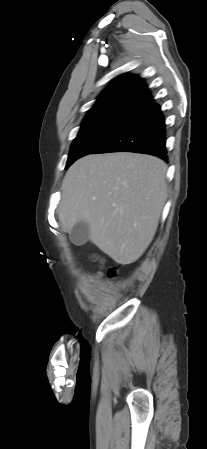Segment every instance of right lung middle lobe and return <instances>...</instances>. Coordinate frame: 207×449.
Listing matches in <instances>:
<instances>
[{"instance_id":"1","label":"right lung middle lobe","mask_w":207,"mask_h":449,"mask_svg":"<svg viewBox=\"0 0 207 449\" xmlns=\"http://www.w3.org/2000/svg\"><path fill=\"white\" fill-rule=\"evenodd\" d=\"M136 113L109 111L87 115L71 145L66 169L78 158L92 153L99 145L128 123Z\"/></svg>"}]
</instances>
